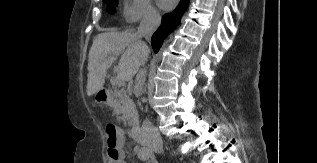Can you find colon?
I'll return each instance as SVG.
<instances>
[{
  "mask_svg": "<svg viewBox=\"0 0 317 163\" xmlns=\"http://www.w3.org/2000/svg\"><path fill=\"white\" fill-rule=\"evenodd\" d=\"M106 135L109 157L112 161L116 162L121 157V151L119 149L120 136L118 130L114 126L109 125L106 128Z\"/></svg>",
  "mask_w": 317,
  "mask_h": 163,
  "instance_id": "obj_1",
  "label": "colon"
}]
</instances>
